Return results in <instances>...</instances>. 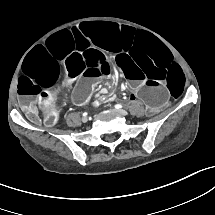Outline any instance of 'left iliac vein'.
<instances>
[{
	"instance_id": "left-iliac-vein-1",
	"label": "left iliac vein",
	"mask_w": 215,
	"mask_h": 215,
	"mask_svg": "<svg viewBox=\"0 0 215 215\" xmlns=\"http://www.w3.org/2000/svg\"><path fill=\"white\" fill-rule=\"evenodd\" d=\"M117 112L123 116L127 115V111L124 109H118Z\"/></svg>"
}]
</instances>
